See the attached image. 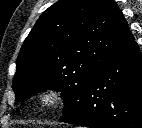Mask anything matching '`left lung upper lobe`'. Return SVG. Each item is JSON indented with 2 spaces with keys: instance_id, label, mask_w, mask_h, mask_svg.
Segmentation results:
<instances>
[{
  "instance_id": "obj_1",
  "label": "left lung upper lobe",
  "mask_w": 142,
  "mask_h": 128,
  "mask_svg": "<svg viewBox=\"0 0 142 128\" xmlns=\"http://www.w3.org/2000/svg\"><path fill=\"white\" fill-rule=\"evenodd\" d=\"M133 38L113 0H58L40 16L16 62L13 90L25 101L40 88L62 91V119L113 52Z\"/></svg>"
}]
</instances>
